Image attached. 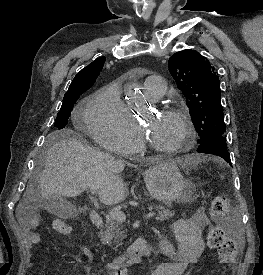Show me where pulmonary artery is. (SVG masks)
<instances>
[{"instance_id": "obj_1", "label": "pulmonary artery", "mask_w": 263, "mask_h": 275, "mask_svg": "<svg viewBox=\"0 0 263 275\" xmlns=\"http://www.w3.org/2000/svg\"><path fill=\"white\" fill-rule=\"evenodd\" d=\"M144 89L151 99L158 100L165 94L166 84L161 76L151 75L146 78Z\"/></svg>"}]
</instances>
